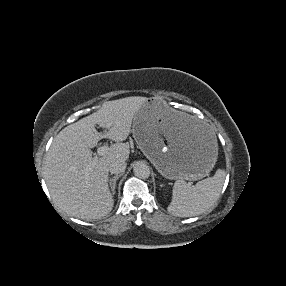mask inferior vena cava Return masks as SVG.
<instances>
[{
    "instance_id": "inferior-vena-cava-1",
    "label": "inferior vena cava",
    "mask_w": 286,
    "mask_h": 286,
    "mask_svg": "<svg viewBox=\"0 0 286 286\" xmlns=\"http://www.w3.org/2000/svg\"><path fill=\"white\" fill-rule=\"evenodd\" d=\"M126 169V162L122 159H115L109 165V170L112 174L123 173Z\"/></svg>"
}]
</instances>
